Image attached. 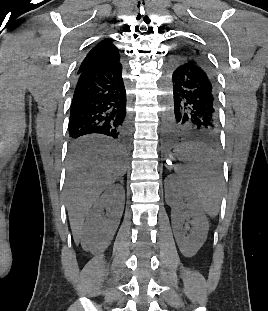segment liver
<instances>
[{
	"mask_svg": "<svg viewBox=\"0 0 268 311\" xmlns=\"http://www.w3.org/2000/svg\"><path fill=\"white\" fill-rule=\"evenodd\" d=\"M126 173L119 146L82 142L67 166L66 206L75 242H79L86 215L100 194Z\"/></svg>",
	"mask_w": 268,
	"mask_h": 311,
	"instance_id": "6515ba94",
	"label": "liver"
}]
</instances>
